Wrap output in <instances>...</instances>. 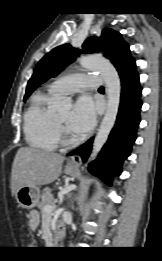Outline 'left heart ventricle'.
<instances>
[{
    "mask_svg": "<svg viewBox=\"0 0 162 261\" xmlns=\"http://www.w3.org/2000/svg\"><path fill=\"white\" fill-rule=\"evenodd\" d=\"M58 120L63 123L65 126H68L69 119H70V112L62 113V114H57L56 116Z\"/></svg>",
    "mask_w": 162,
    "mask_h": 261,
    "instance_id": "b2bd125f",
    "label": "left heart ventricle"
}]
</instances>
